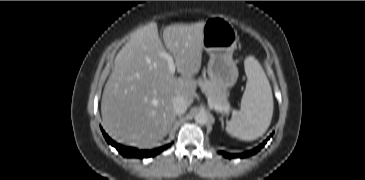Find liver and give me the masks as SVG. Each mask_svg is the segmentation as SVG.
Masks as SVG:
<instances>
[{
  "instance_id": "obj_1",
  "label": "liver",
  "mask_w": 365,
  "mask_h": 180,
  "mask_svg": "<svg viewBox=\"0 0 365 180\" xmlns=\"http://www.w3.org/2000/svg\"><path fill=\"white\" fill-rule=\"evenodd\" d=\"M204 22L174 24L163 31L166 49L181 77L169 71L160 56L165 48L156 24L131 34L119 51L104 87L101 114L106 132L133 146L154 145L171 130L176 119L173 99L181 96L190 106L196 95L194 75L201 68Z\"/></svg>"
}]
</instances>
